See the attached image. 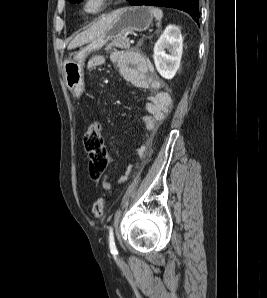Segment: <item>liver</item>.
<instances>
[{
	"label": "liver",
	"instance_id": "liver-1",
	"mask_svg": "<svg viewBox=\"0 0 267 298\" xmlns=\"http://www.w3.org/2000/svg\"><path fill=\"white\" fill-rule=\"evenodd\" d=\"M116 14L115 12L103 16L102 18L98 19L92 26H90L85 31L78 34L68 45V50L74 49L78 46H82L84 44L89 43L97 36L104 33L110 26V24L115 19Z\"/></svg>",
	"mask_w": 267,
	"mask_h": 298
}]
</instances>
